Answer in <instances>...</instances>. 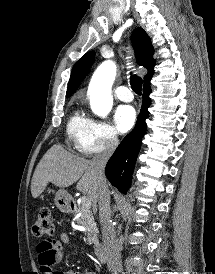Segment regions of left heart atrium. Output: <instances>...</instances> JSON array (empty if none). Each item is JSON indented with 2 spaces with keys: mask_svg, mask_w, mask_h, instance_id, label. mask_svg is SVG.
<instances>
[{
  "mask_svg": "<svg viewBox=\"0 0 215 274\" xmlns=\"http://www.w3.org/2000/svg\"><path fill=\"white\" fill-rule=\"evenodd\" d=\"M114 120L119 132H128L135 124L136 111L129 105L120 106L115 112Z\"/></svg>",
  "mask_w": 215,
  "mask_h": 274,
  "instance_id": "39dd6f15",
  "label": "left heart atrium"
}]
</instances>
